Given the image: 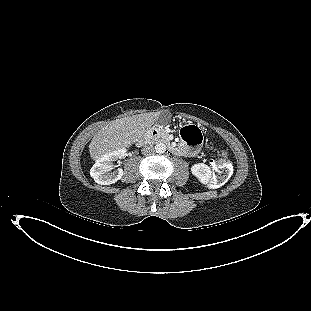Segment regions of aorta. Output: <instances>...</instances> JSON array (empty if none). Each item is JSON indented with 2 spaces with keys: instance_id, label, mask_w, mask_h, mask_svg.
Segmentation results:
<instances>
[{
  "instance_id": "obj_1",
  "label": "aorta",
  "mask_w": 311,
  "mask_h": 311,
  "mask_svg": "<svg viewBox=\"0 0 311 311\" xmlns=\"http://www.w3.org/2000/svg\"><path fill=\"white\" fill-rule=\"evenodd\" d=\"M155 151L159 154H162L166 151V145L162 142L158 143L156 146H155Z\"/></svg>"
}]
</instances>
